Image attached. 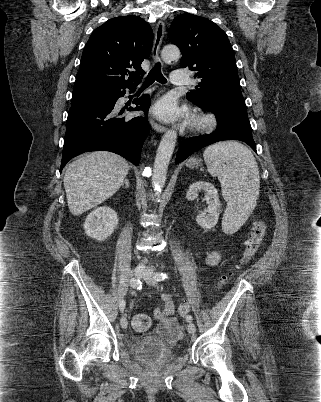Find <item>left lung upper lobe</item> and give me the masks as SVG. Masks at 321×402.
<instances>
[{"label":"left lung upper lobe","mask_w":321,"mask_h":402,"mask_svg":"<svg viewBox=\"0 0 321 402\" xmlns=\"http://www.w3.org/2000/svg\"><path fill=\"white\" fill-rule=\"evenodd\" d=\"M182 53L181 65L201 82L186 97L205 109L217 98L242 96L235 55L226 33L214 22L192 14L178 16L169 31Z\"/></svg>","instance_id":"5c2ea615"}]
</instances>
